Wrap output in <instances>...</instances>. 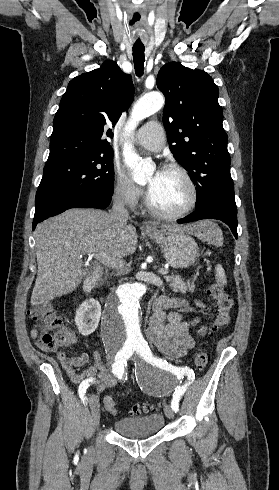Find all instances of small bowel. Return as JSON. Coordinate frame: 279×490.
I'll return each instance as SVG.
<instances>
[{
	"label": "small bowel",
	"instance_id": "small-bowel-1",
	"mask_svg": "<svg viewBox=\"0 0 279 490\" xmlns=\"http://www.w3.org/2000/svg\"><path fill=\"white\" fill-rule=\"evenodd\" d=\"M185 304L183 299L161 296L155 299L149 313L146 335L162 355L171 359L185 356L194 347V339L189 329L195 322L183 321L180 314L175 311V309L184 307ZM167 309H172V311L166 312ZM39 330L38 325L31 330V337L34 341H38ZM206 330L207 327L202 326L198 331V336H203ZM76 343V338L71 336V344ZM55 358L70 380L81 388L86 389L95 385L97 391L101 393L116 384V379L102 362L100 350L93 351V364L82 372H78L77 369L88 363L90 356L87 353L68 357L64 352L58 351L55 352Z\"/></svg>",
	"mask_w": 279,
	"mask_h": 490
}]
</instances>
